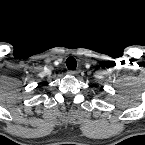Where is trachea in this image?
I'll return each instance as SVG.
<instances>
[{
  "label": "trachea",
  "mask_w": 145,
  "mask_h": 145,
  "mask_svg": "<svg viewBox=\"0 0 145 145\" xmlns=\"http://www.w3.org/2000/svg\"><path fill=\"white\" fill-rule=\"evenodd\" d=\"M66 65L69 70H75L77 67L76 59L73 56H70L66 60Z\"/></svg>",
  "instance_id": "trachea-1"
}]
</instances>
